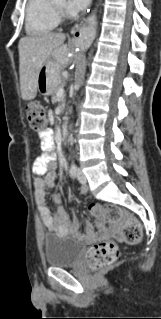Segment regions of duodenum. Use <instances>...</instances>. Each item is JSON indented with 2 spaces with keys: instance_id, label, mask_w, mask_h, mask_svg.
I'll use <instances>...</instances> for the list:
<instances>
[{
  "instance_id": "410a0bca",
  "label": "duodenum",
  "mask_w": 161,
  "mask_h": 319,
  "mask_svg": "<svg viewBox=\"0 0 161 319\" xmlns=\"http://www.w3.org/2000/svg\"><path fill=\"white\" fill-rule=\"evenodd\" d=\"M68 134V127L67 125L63 124L60 128V136L62 139L66 138Z\"/></svg>"
}]
</instances>
